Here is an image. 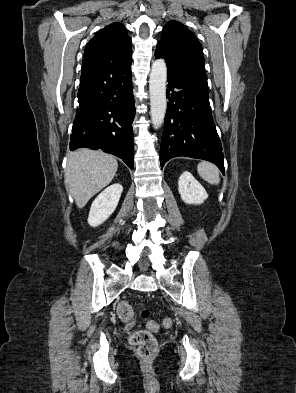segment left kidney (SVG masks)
Returning a JSON list of instances; mask_svg holds the SVG:
<instances>
[{"label":"left kidney","instance_id":"left-kidney-1","mask_svg":"<svg viewBox=\"0 0 296 393\" xmlns=\"http://www.w3.org/2000/svg\"><path fill=\"white\" fill-rule=\"evenodd\" d=\"M178 191L181 199L186 204L199 205L208 197L204 187L188 171L180 175L178 180Z\"/></svg>","mask_w":296,"mask_h":393}]
</instances>
